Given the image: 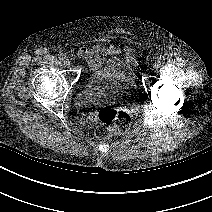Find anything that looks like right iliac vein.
Segmentation results:
<instances>
[{"label": "right iliac vein", "mask_w": 212, "mask_h": 212, "mask_svg": "<svg viewBox=\"0 0 212 212\" xmlns=\"http://www.w3.org/2000/svg\"><path fill=\"white\" fill-rule=\"evenodd\" d=\"M63 63H64L65 66H69L71 62H70V60L68 58H65L63 60Z\"/></svg>", "instance_id": "right-iliac-vein-1"}]
</instances>
